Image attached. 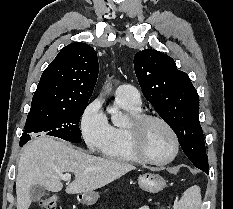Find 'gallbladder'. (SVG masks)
<instances>
[{"mask_svg":"<svg viewBox=\"0 0 233 209\" xmlns=\"http://www.w3.org/2000/svg\"><path fill=\"white\" fill-rule=\"evenodd\" d=\"M45 195V190L40 185H34L30 188V199L37 202Z\"/></svg>","mask_w":233,"mask_h":209,"instance_id":"bac80fb5","label":"gallbladder"}]
</instances>
